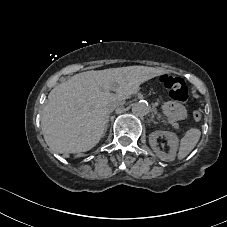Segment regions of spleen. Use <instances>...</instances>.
I'll list each match as a JSON object with an SVG mask.
<instances>
[{
    "mask_svg": "<svg viewBox=\"0 0 227 227\" xmlns=\"http://www.w3.org/2000/svg\"><path fill=\"white\" fill-rule=\"evenodd\" d=\"M200 136L201 131L197 128H191L185 133V136L180 140L177 153V159L179 161L183 160L195 148Z\"/></svg>",
    "mask_w": 227,
    "mask_h": 227,
    "instance_id": "obj_1",
    "label": "spleen"
}]
</instances>
